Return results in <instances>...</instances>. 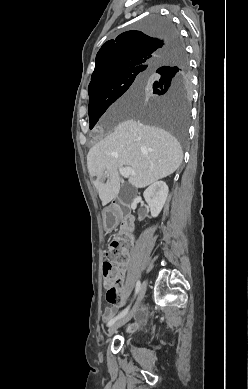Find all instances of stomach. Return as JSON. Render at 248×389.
Wrapping results in <instances>:
<instances>
[{
  "label": "stomach",
  "mask_w": 248,
  "mask_h": 389,
  "mask_svg": "<svg viewBox=\"0 0 248 389\" xmlns=\"http://www.w3.org/2000/svg\"><path fill=\"white\" fill-rule=\"evenodd\" d=\"M105 219L106 220H113L114 219V214L113 213H106L105 214Z\"/></svg>",
  "instance_id": "stomach-1"
}]
</instances>
